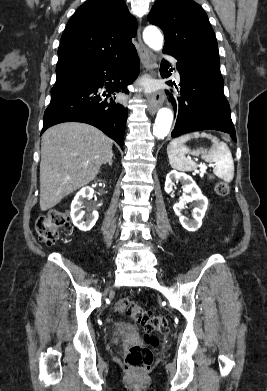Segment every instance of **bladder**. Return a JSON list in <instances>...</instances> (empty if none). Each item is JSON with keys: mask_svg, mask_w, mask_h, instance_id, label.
Here are the masks:
<instances>
[{"mask_svg": "<svg viewBox=\"0 0 267 391\" xmlns=\"http://www.w3.org/2000/svg\"><path fill=\"white\" fill-rule=\"evenodd\" d=\"M133 331L132 327L127 324H119L113 331V337H120L130 334Z\"/></svg>", "mask_w": 267, "mask_h": 391, "instance_id": "obj_1", "label": "bladder"}]
</instances>
